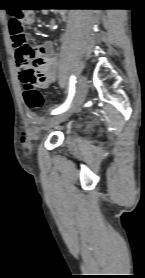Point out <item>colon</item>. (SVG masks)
Returning a JSON list of instances; mask_svg holds the SVG:
<instances>
[{"label": "colon", "mask_w": 145, "mask_h": 278, "mask_svg": "<svg viewBox=\"0 0 145 278\" xmlns=\"http://www.w3.org/2000/svg\"><path fill=\"white\" fill-rule=\"evenodd\" d=\"M31 20V14L29 11L22 8H15L12 12V17L9 22V32L14 42L18 45V54L25 53L26 55H32V49L27 44L26 27ZM23 80V98L26 105L30 109H38L42 107L44 98L38 85L43 81V73L40 70L37 63H35L30 69H28L22 76ZM26 152L29 151L28 145L24 146Z\"/></svg>", "instance_id": "1"}]
</instances>
